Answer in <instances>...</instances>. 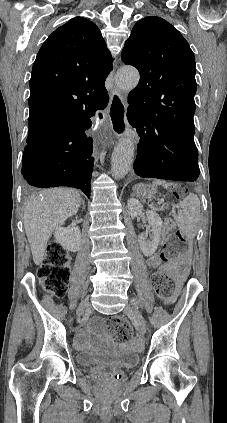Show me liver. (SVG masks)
I'll return each mask as SVG.
<instances>
[{"label":"liver","mask_w":227,"mask_h":423,"mask_svg":"<svg viewBox=\"0 0 227 423\" xmlns=\"http://www.w3.org/2000/svg\"><path fill=\"white\" fill-rule=\"evenodd\" d=\"M80 202V194L70 188L43 190L30 196L24 208V227L35 265L42 263L54 229L77 213Z\"/></svg>","instance_id":"obj_1"}]
</instances>
